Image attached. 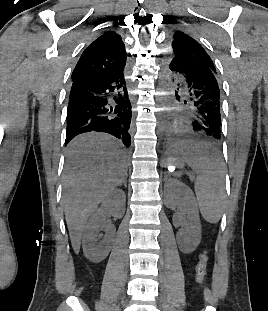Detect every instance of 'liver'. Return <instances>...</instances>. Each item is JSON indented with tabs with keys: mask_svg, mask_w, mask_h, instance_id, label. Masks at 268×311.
Masks as SVG:
<instances>
[{
	"mask_svg": "<svg viewBox=\"0 0 268 311\" xmlns=\"http://www.w3.org/2000/svg\"><path fill=\"white\" fill-rule=\"evenodd\" d=\"M127 169L122 144L110 136L85 134L70 143L63 177V207L76 254L88 217L123 181Z\"/></svg>",
	"mask_w": 268,
	"mask_h": 311,
	"instance_id": "obj_1",
	"label": "liver"
}]
</instances>
